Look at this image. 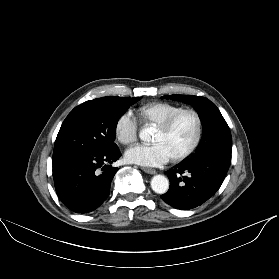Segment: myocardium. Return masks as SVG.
I'll list each match as a JSON object with an SVG mask.
<instances>
[{
  "label": "myocardium",
  "instance_id": "obj_1",
  "mask_svg": "<svg viewBox=\"0 0 279 279\" xmlns=\"http://www.w3.org/2000/svg\"><path fill=\"white\" fill-rule=\"evenodd\" d=\"M183 114H191L193 116L196 124V130H195L194 138L191 144L188 146V148H186L183 152L171 157V159L174 161H180L189 157L197 148L202 135V120L199 113L196 110L191 108L181 109L173 113L165 121H163L160 125L156 127L157 130H159L160 132H167L173 126L175 121Z\"/></svg>",
  "mask_w": 279,
  "mask_h": 279
}]
</instances>
